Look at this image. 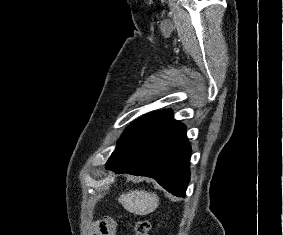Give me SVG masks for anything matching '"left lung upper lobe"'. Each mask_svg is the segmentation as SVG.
Listing matches in <instances>:
<instances>
[{"instance_id": "left-lung-upper-lobe-1", "label": "left lung upper lobe", "mask_w": 283, "mask_h": 235, "mask_svg": "<svg viewBox=\"0 0 283 235\" xmlns=\"http://www.w3.org/2000/svg\"><path fill=\"white\" fill-rule=\"evenodd\" d=\"M154 115L155 114L153 113L145 115L140 119H138L137 121H135L133 124H131L122 134L121 138L118 141L117 147H119L135 130H137L140 126H142L147 120H149Z\"/></svg>"}]
</instances>
